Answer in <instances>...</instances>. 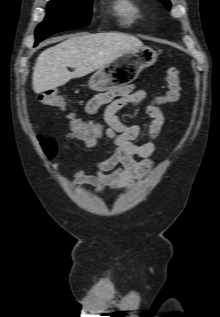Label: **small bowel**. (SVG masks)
Instances as JSON below:
<instances>
[{
  "instance_id": "small-bowel-1",
  "label": "small bowel",
  "mask_w": 220,
  "mask_h": 317,
  "mask_svg": "<svg viewBox=\"0 0 220 317\" xmlns=\"http://www.w3.org/2000/svg\"><path fill=\"white\" fill-rule=\"evenodd\" d=\"M146 99V92L141 89L125 87L118 90L101 92L93 96L85 106L87 115H94L106 105L103 122L84 121L74 127L66 136L68 141L78 139L86 149L95 147L101 139H107L114 148L113 154L99 161L94 174L86 170L75 173L71 180L74 187L92 185L95 193H101L106 187L120 190L132 185L145 176L152 165V156L156 151V139L164 124L161 109L155 104H148L147 112L151 122L147 127L149 140L138 142L143 134L139 124H127L118 117V112L128 104H138ZM65 145L64 149H69ZM112 172H108L111 171Z\"/></svg>"
}]
</instances>
